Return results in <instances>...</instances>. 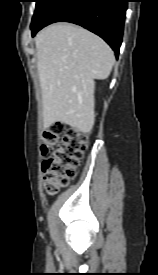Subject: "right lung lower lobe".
Returning a JSON list of instances; mask_svg holds the SVG:
<instances>
[{"instance_id":"right-lung-lower-lobe-1","label":"right lung lower lobe","mask_w":158,"mask_h":275,"mask_svg":"<svg viewBox=\"0 0 158 275\" xmlns=\"http://www.w3.org/2000/svg\"><path fill=\"white\" fill-rule=\"evenodd\" d=\"M126 9L127 0H56L31 30L35 35L54 22L75 23L103 38L118 57Z\"/></svg>"}]
</instances>
